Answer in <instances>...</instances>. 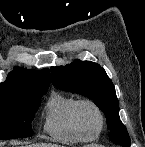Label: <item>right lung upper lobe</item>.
<instances>
[{
    "label": "right lung upper lobe",
    "instance_id": "1",
    "mask_svg": "<svg viewBox=\"0 0 145 147\" xmlns=\"http://www.w3.org/2000/svg\"><path fill=\"white\" fill-rule=\"evenodd\" d=\"M50 81L51 78L48 69L34 71L15 67L9 73L6 81L0 83V94L23 89L48 88Z\"/></svg>",
    "mask_w": 145,
    "mask_h": 147
}]
</instances>
